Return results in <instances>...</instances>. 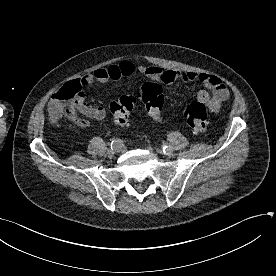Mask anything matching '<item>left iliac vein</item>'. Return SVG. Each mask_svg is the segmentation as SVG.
Wrapping results in <instances>:
<instances>
[{
	"label": "left iliac vein",
	"instance_id": "1",
	"mask_svg": "<svg viewBox=\"0 0 276 276\" xmlns=\"http://www.w3.org/2000/svg\"><path fill=\"white\" fill-rule=\"evenodd\" d=\"M162 152V151H161ZM165 155L172 157L173 156V149L167 151V152H163Z\"/></svg>",
	"mask_w": 276,
	"mask_h": 276
}]
</instances>
